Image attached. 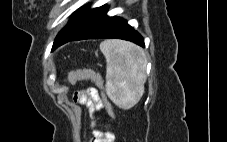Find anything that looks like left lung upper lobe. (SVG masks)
I'll use <instances>...</instances> for the list:
<instances>
[{
	"instance_id": "5c2ea615",
	"label": "left lung upper lobe",
	"mask_w": 227,
	"mask_h": 142,
	"mask_svg": "<svg viewBox=\"0 0 227 142\" xmlns=\"http://www.w3.org/2000/svg\"><path fill=\"white\" fill-rule=\"evenodd\" d=\"M105 8L106 5L94 9H87V7H85L74 12L70 21L56 36L52 50L67 42L79 30H81L89 22H91Z\"/></svg>"
}]
</instances>
